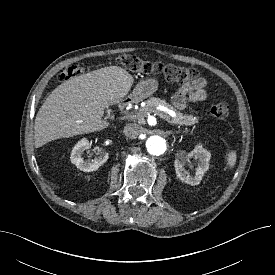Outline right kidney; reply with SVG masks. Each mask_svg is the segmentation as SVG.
Instances as JSON below:
<instances>
[{"label": "right kidney", "instance_id": "ca27d5eb", "mask_svg": "<svg viewBox=\"0 0 275 275\" xmlns=\"http://www.w3.org/2000/svg\"><path fill=\"white\" fill-rule=\"evenodd\" d=\"M90 148V143L87 139H81L72 149L70 161L74 164L79 170L84 172L96 171L98 168L103 165L109 154L100 147L95 148V153L97 157L95 159L83 160L82 154L85 150Z\"/></svg>", "mask_w": 275, "mask_h": 275}]
</instances>
